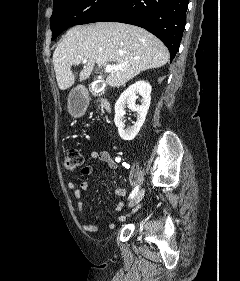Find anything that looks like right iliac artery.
<instances>
[{"label": "right iliac artery", "mask_w": 240, "mask_h": 281, "mask_svg": "<svg viewBox=\"0 0 240 281\" xmlns=\"http://www.w3.org/2000/svg\"><path fill=\"white\" fill-rule=\"evenodd\" d=\"M138 190H139V186H136L132 192L130 193L129 195V199H132L137 193H138Z\"/></svg>", "instance_id": "obj_1"}]
</instances>
